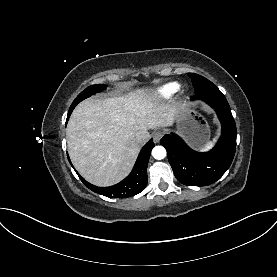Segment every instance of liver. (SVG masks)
Returning a JSON list of instances; mask_svg holds the SVG:
<instances>
[{
	"label": "liver",
	"instance_id": "liver-1",
	"mask_svg": "<svg viewBox=\"0 0 277 277\" xmlns=\"http://www.w3.org/2000/svg\"><path fill=\"white\" fill-rule=\"evenodd\" d=\"M175 108L158 104L147 88L128 95L82 101L67 125V147L76 170L90 183L105 187L131 171L141 143L139 130L172 125Z\"/></svg>",
	"mask_w": 277,
	"mask_h": 277
}]
</instances>
